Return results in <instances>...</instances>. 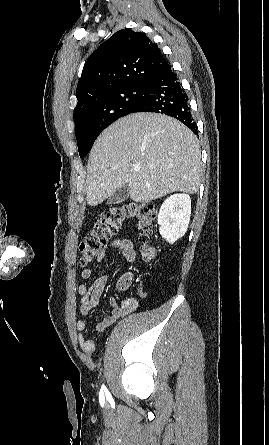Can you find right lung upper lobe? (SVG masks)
<instances>
[{"mask_svg": "<svg viewBox=\"0 0 269 445\" xmlns=\"http://www.w3.org/2000/svg\"><path fill=\"white\" fill-rule=\"evenodd\" d=\"M166 65L158 46L144 33L119 30L86 61L76 89L75 110L122 86L148 84Z\"/></svg>", "mask_w": 269, "mask_h": 445, "instance_id": "1", "label": "right lung upper lobe"}]
</instances>
